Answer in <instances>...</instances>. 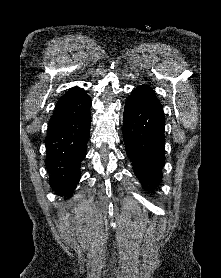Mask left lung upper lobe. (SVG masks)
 <instances>
[{
	"instance_id": "obj_1",
	"label": "left lung upper lobe",
	"mask_w": 221,
	"mask_h": 278,
	"mask_svg": "<svg viewBox=\"0 0 221 278\" xmlns=\"http://www.w3.org/2000/svg\"><path fill=\"white\" fill-rule=\"evenodd\" d=\"M130 101H134L138 104H160L156 98L154 91L146 85H141L132 91Z\"/></svg>"
}]
</instances>
